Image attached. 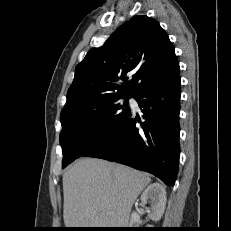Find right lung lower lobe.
Returning <instances> with one entry per match:
<instances>
[{"label": "right lung lower lobe", "mask_w": 231, "mask_h": 231, "mask_svg": "<svg viewBox=\"0 0 231 231\" xmlns=\"http://www.w3.org/2000/svg\"><path fill=\"white\" fill-rule=\"evenodd\" d=\"M180 88L181 79L176 77L142 89L135 96L145 119L141 128L131 114L114 135L83 156L125 164L173 186L180 154Z\"/></svg>", "instance_id": "1"}]
</instances>
